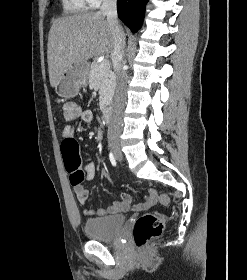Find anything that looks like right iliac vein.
I'll list each match as a JSON object with an SVG mask.
<instances>
[{
    "label": "right iliac vein",
    "instance_id": "63e3f726",
    "mask_svg": "<svg viewBox=\"0 0 247 280\" xmlns=\"http://www.w3.org/2000/svg\"><path fill=\"white\" fill-rule=\"evenodd\" d=\"M113 150L116 155H119V147L118 146H113Z\"/></svg>",
    "mask_w": 247,
    "mask_h": 280
}]
</instances>
